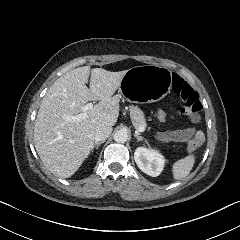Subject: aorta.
Segmentation results:
<instances>
[{"instance_id": "obj_1", "label": "aorta", "mask_w": 240, "mask_h": 240, "mask_svg": "<svg viewBox=\"0 0 240 240\" xmlns=\"http://www.w3.org/2000/svg\"><path fill=\"white\" fill-rule=\"evenodd\" d=\"M128 139V134L125 130H117L114 133V140L117 143H125Z\"/></svg>"}]
</instances>
